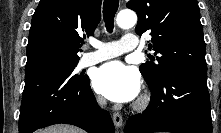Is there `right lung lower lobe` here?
I'll use <instances>...</instances> for the list:
<instances>
[{"label":"right lung lower lobe","mask_w":221,"mask_h":133,"mask_svg":"<svg viewBox=\"0 0 221 133\" xmlns=\"http://www.w3.org/2000/svg\"><path fill=\"white\" fill-rule=\"evenodd\" d=\"M65 123L89 133H114L107 111L97 105L86 76L73 81L56 69L25 73L19 117V133Z\"/></svg>","instance_id":"1"}]
</instances>
